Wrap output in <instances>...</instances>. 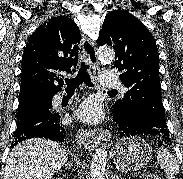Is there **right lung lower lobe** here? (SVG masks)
Wrapping results in <instances>:
<instances>
[{
  "label": "right lung lower lobe",
  "instance_id": "1",
  "mask_svg": "<svg viewBox=\"0 0 183 179\" xmlns=\"http://www.w3.org/2000/svg\"><path fill=\"white\" fill-rule=\"evenodd\" d=\"M55 94H46V102L32 106L25 116L17 121L11 147L32 137L48 138L61 143L64 141L66 130L60 115L51 110L52 97Z\"/></svg>",
  "mask_w": 183,
  "mask_h": 179
}]
</instances>
